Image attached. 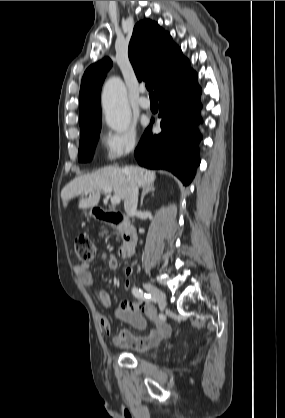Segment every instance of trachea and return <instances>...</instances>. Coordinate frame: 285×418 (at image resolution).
Masks as SVG:
<instances>
[{
	"label": "trachea",
	"mask_w": 285,
	"mask_h": 418,
	"mask_svg": "<svg viewBox=\"0 0 285 418\" xmlns=\"http://www.w3.org/2000/svg\"><path fill=\"white\" fill-rule=\"evenodd\" d=\"M146 88H147V90H149V91H150V97H151V98H155V95H154V93L152 92V89H153V84H152V83H147V84H146Z\"/></svg>",
	"instance_id": "obj_1"
}]
</instances>
